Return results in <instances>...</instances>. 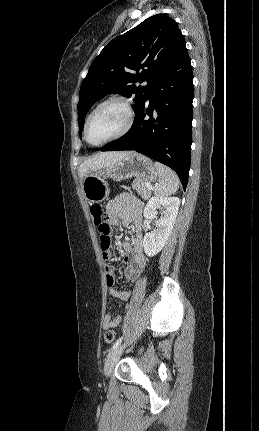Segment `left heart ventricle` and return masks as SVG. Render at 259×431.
<instances>
[{"mask_svg":"<svg viewBox=\"0 0 259 431\" xmlns=\"http://www.w3.org/2000/svg\"><path fill=\"white\" fill-rule=\"evenodd\" d=\"M126 122V112L121 104L109 103L101 107L91 118L88 138L92 143H100L118 133Z\"/></svg>","mask_w":259,"mask_h":431,"instance_id":"obj_1","label":"left heart ventricle"}]
</instances>
